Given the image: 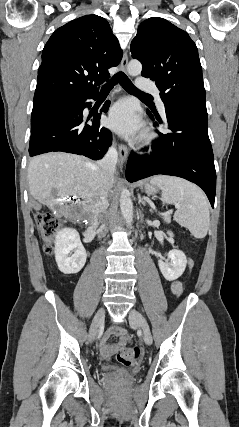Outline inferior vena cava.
Returning <instances> with one entry per match:
<instances>
[{
  "label": "inferior vena cava",
  "mask_w": 239,
  "mask_h": 427,
  "mask_svg": "<svg viewBox=\"0 0 239 427\" xmlns=\"http://www.w3.org/2000/svg\"><path fill=\"white\" fill-rule=\"evenodd\" d=\"M118 159V153L114 146H111L105 156L98 162V167L101 175V191L99 199L96 202V215L94 224L103 222V216L106 214L108 208V181L110 175L114 173L115 166Z\"/></svg>",
  "instance_id": "1"
}]
</instances>
